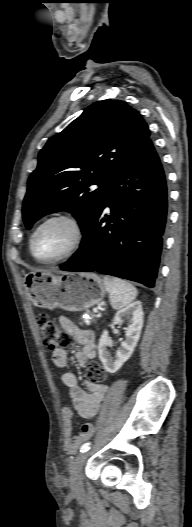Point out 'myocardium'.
I'll use <instances>...</instances> for the list:
<instances>
[{
    "label": "myocardium",
    "instance_id": "obj_1",
    "mask_svg": "<svg viewBox=\"0 0 192 527\" xmlns=\"http://www.w3.org/2000/svg\"><path fill=\"white\" fill-rule=\"evenodd\" d=\"M54 220H65L72 226L73 231H74L73 241L71 245L69 246V248L64 253L60 254L59 256L51 258V259H42L38 257L35 252V239L40 229L43 226H45L47 223L54 221ZM84 236H85V232H84L83 224L76 215L69 213V212H57V213L51 214L47 216L46 218H44L35 227L30 237V244H29L30 251H31L32 256L35 258V260H37L40 263H43V264L58 263V262L64 261L72 257L79 250V248L81 247L84 241Z\"/></svg>",
    "mask_w": 192,
    "mask_h": 527
}]
</instances>
